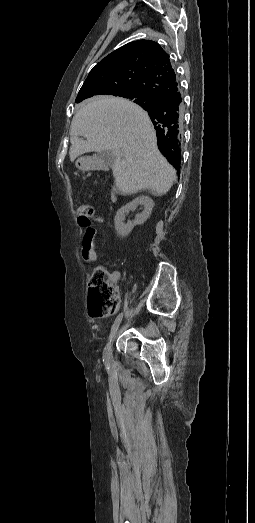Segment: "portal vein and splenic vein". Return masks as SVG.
Masks as SVG:
<instances>
[{
    "label": "portal vein and splenic vein",
    "mask_w": 255,
    "mask_h": 523,
    "mask_svg": "<svg viewBox=\"0 0 255 523\" xmlns=\"http://www.w3.org/2000/svg\"><path fill=\"white\" fill-rule=\"evenodd\" d=\"M121 156H123V152H121Z\"/></svg>",
    "instance_id": "obj_1"
}]
</instances>
